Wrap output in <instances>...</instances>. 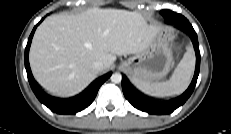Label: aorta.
I'll use <instances>...</instances> for the list:
<instances>
[{"label": "aorta", "instance_id": "aorta-1", "mask_svg": "<svg viewBox=\"0 0 231 134\" xmlns=\"http://www.w3.org/2000/svg\"><path fill=\"white\" fill-rule=\"evenodd\" d=\"M113 83H120L122 80V75L120 73H113L110 77Z\"/></svg>", "mask_w": 231, "mask_h": 134}]
</instances>
